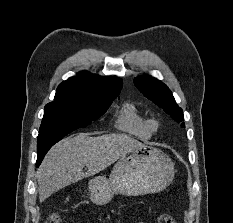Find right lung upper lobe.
Wrapping results in <instances>:
<instances>
[{"mask_svg": "<svg viewBox=\"0 0 233 223\" xmlns=\"http://www.w3.org/2000/svg\"><path fill=\"white\" fill-rule=\"evenodd\" d=\"M122 80L117 77H101L81 72L62 82L55 94V100H76L88 103H111L120 93Z\"/></svg>", "mask_w": 233, "mask_h": 223, "instance_id": "cb5924a9", "label": "right lung upper lobe"}]
</instances>
